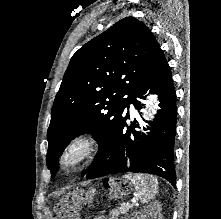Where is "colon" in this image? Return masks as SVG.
<instances>
[{"mask_svg":"<svg viewBox=\"0 0 221 219\" xmlns=\"http://www.w3.org/2000/svg\"><path fill=\"white\" fill-rule=\"evenodd\" d=\"M65 219H80L73 205H68L61 209Z\"/></svg>","mask_w":221,"mask_h":219,"instance_id":"colon-1","label":"colon"}]
</instances>
